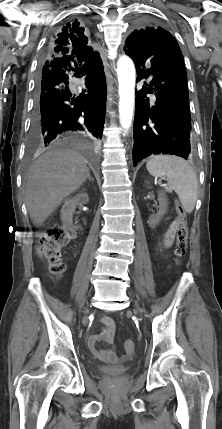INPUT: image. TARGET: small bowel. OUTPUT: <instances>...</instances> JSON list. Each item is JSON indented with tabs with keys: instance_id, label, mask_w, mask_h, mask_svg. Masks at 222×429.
I'll return each mask as SVG.
<instances>
[{
	"instance_id": "c3829d8e",
	"label": "small bowel",
	"mask_w": 222,
	"mask_h": 429,
	"mask_svg": "<svg viewBox=\"0 0 222 429\" xmlns=\"http://www.w3.org/2000/svg\"><path fill=\"white\" fill-rule=\"evenodd\" d=\"M178 228L177 218L169 225L162 237L161 246L163 248H168L172 245L176 231ZM100 322L103 325V329L99 334L91 335L88 338V347L92 354L99 360L115 364L119 361V358L114 351V349H101L98 348V343L104 342L109 345H114V334H115V324L112 318L104 316L100 319Z\"/></svg>"
}]
</instances>
